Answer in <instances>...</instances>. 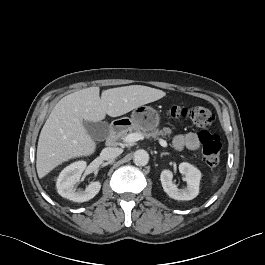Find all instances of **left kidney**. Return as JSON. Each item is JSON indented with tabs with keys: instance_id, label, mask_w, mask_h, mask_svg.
I'll return each mask as SVG.
<instances>
[{
	"instance_id": "1",
	"label": "left kidney",
	"mask_w": 265,
	"mask_h": 265,
	"mask_svg": "<svg viewBox=\"0 0 265 265\" xmlns=\"http://www.w3.org/2000/svg\"><path fill=\"white\" fill-rule=\"evenodd\" d=\"M180 173L185 175L187 187L179 189L173 182V173L165 169L161 172L160 180L164 191L175 200H192L199 193L201 172L193 165L182 162L179 164Z\"/></svg>"
}]
</instances>
